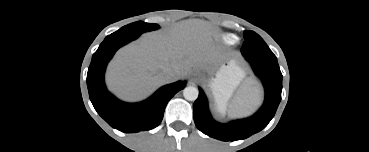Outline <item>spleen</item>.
<instances>
[{
	"instance_id": "spleen-1",
	"label": "spleen",
	"mask_w": 369,
	"mask_h": 152,
	"mask_svg": "<svg viewBox=\"0 0 369 152\" xmlns=\"http://www.w3.org/2000/svg\"><path fill=\"white\" fill-rule=\"evenodd\" d=\"M261 102V92L256 89L243 93L240 98L230 105L229 114L232 117L249 115Z\"/></svg>"
}]
</instances>
